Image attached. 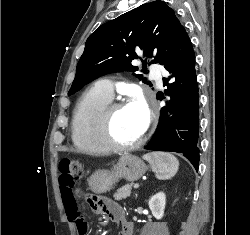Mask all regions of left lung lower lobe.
Instances as JSON below:
<instances>
[{
    "mask_svg": "<svg viewBox=\"0 0 250 235\" xmlns=\"http://www.w3.org/2000/svg\"><path fill=\"white\" fill-rule=\"evenodd\" d=\"M163 66L171 73L163 78L170 100L161 109L158 128L146 149L182 153L198 170L199 93L195 54L184 28Z\"/></svg>",
    "mask_w": 250,
    "mask_h": 235,
    "instance_id": "0a47b994",
    "label": "left lung lower lobe"
}]
</instances>
